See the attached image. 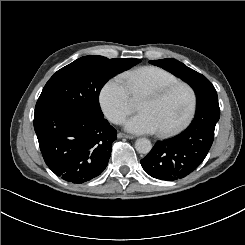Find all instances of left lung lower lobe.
I'll return each instance as SVG.
<instances>
[{"label": "left lung lower lobe", "instance_id": "obj_1", "mask_svg": "<svg viewBox=\"0 0 245 245\" xmlns=\"http://www.w3.org/2000/svg\"><path fill=\"white\" fill-rule=\"evenodd\" d=\"M196 115L181 134L158 141L141 160L143 169L153 178L175 181L192 173L211 148L215 125L220 117L216 90L212 83L196 92Z\"/></svg>", "mask_w": 245, "mask_h": 245}]
</instances>
